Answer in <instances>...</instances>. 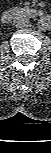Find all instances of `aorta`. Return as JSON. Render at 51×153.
<instances>
[{"instance_id": "aorta-1", "label": "aorta", "mask_w": 51, "mask_h": 153, "mask_svg": "<svg viewBox=\"0 0 51 153\" xmlns=\"http://www.w3.org/2000/svg\"><path fill=\"white\" fill-rule=\"evenodd\" d=\"M37 25L41 30H49L51 27V17L49 15L41 16Z\"/></svg>"}]
</instances>
